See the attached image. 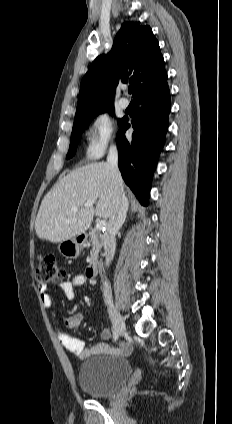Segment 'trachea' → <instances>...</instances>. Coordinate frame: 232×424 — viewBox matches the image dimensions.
I'll return each mask as SVG.
<instances>
[{
	"label": "trachea",
	"mask_w": 232,
	"mask_h": 424,
	"mask_svg": "<svg viewBox=\"0 0 232 424\" xmlns=\"http://www.w3.org/2000/svg\"><path fill=\"white\" fill-rule=\"evenodd\" d=\"M128 92H129V93H132V92H133V88H132V87H129V88H128Z\"/></svg>",
	"instance_id": "trachea-1"
}]
</instances>
